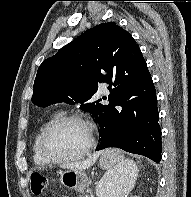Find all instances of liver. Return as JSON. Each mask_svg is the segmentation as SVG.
Returning <instances> with one entry per match:
<instances>
[{
  "label": "liver",
  "mask_w": 191,
  "mask_h": 197,
  "mask_svg": "<svg viewBox=\"0 0 191 197\" xmlns=\"http://www.w3.org/2000/svg\"><path fill=\"white\" fill-rule=\"evenodd\" d=\"M100 154L101 152L94 153L93 155L89 156L86 160L70 163L63 167L73 170H84L86 168L91 167L96 162Z\"/></svg>",
  "instance_id": "6515ba94"
}]
</instances>
